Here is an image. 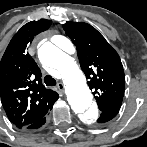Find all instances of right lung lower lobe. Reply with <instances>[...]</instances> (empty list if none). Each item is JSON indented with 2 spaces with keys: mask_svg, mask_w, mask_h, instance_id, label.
I'll return each instance as SVG.
<instances>
[{
  "mask_svg": "<svg viewBox=\"0 0 147 147\" xmlns=\"http://www.w3.org/2000/svg\"><path fill=\"white\" fill-rule=\"evenodd\" d=\"M45 122H46V118L43 117V118H41L40 120H38V121H36V122H34V123H32V124H30V125L24 127V128H26V129H38V128H40L42 125H44Z\"/></svg>",
  "mask_w": 147,
  "mask_h": 147,
  "instance_id": "right-lung-lower-lobe-1",
  "label": "right lung lower lobe"
}]
</instances>
